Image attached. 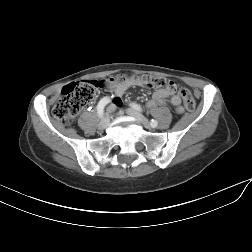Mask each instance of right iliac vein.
<instances>
[{
  "label": "right iliac vein",
  "instance_id": "1",
  "mask_svg": "<svg viewBox=\"0 0 252 252\" xmlns=\"http://www.w3.org/2000/svg\"><path fill=\"white\" fill-rule=\"evenodd\" d=\"M109 116L106 115L98 124V128L103 130L105 128H107L108 124H109Z\"/></svg>",
  "mask_w": 252,
  "mask_h": 252
}]
</instances>
